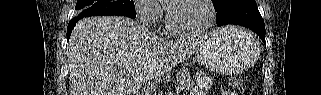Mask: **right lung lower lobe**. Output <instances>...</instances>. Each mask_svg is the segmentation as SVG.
<instances>
[{"label":"right lung lower lobe","instance_id":"right-lung-lower-lobe-1","mask_svg":"<svg viewBox=\"0 0 321 95\" xmlns=\"http://www.w3.org/2000/svg\"><path fill=\"white\" fill-rule=\"evenodd\" d=\"M81 18H73L69 24H68V28H67V40H69L72 29L74 28L75 24L80 20Z\"/></svg>","mask_w":321,"mask_h":95}]
</instances>
